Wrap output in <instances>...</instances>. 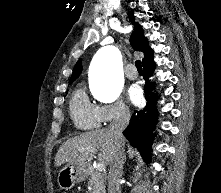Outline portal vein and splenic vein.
Returning <instances> with one entry per match:
<instances>
[{
  "mask_svg": "<svg viewBox=\"0 0 221 193\" xmlns=\"http://www.w3.org/2000/svg\"><path fill=\"white\" fill-rule=\"evenodd\" d=\"M80 151H84V149H79ZM87 151L91 152V153H96V150L94 148H87ZM97 168L99 171H103L105 170V164L104 162H99L97 165Z\"/></svg>",
  "mask_w": 221,
  "mask_h": 193,
  "instance_id": "18ae733b",
  "label": "portal vein and splenic vein"
}]
</instances>
